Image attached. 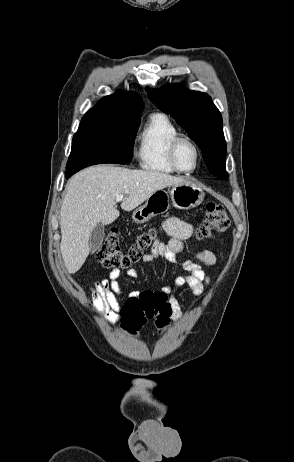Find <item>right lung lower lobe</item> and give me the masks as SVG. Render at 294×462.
I'll return each mask as SVG.
<instances>
[{
  "label": "right lung lower lobe",
  "instance_id": "98d812e1",
  "mask_svg": "<svg viewBox=\"0 0 294 462\" xmlns=\"http://www.w3.org/2000/svg\"><path fill=\"white\" fill-rule=\"evenodd\" d=\"M72 175H73V174H67V175H66V178L68 179V178H70Z\"/></svg>",
  "mask_w": 294,
  "mask_h": 462
}]
</instances>
